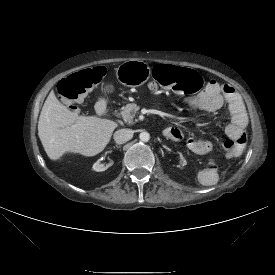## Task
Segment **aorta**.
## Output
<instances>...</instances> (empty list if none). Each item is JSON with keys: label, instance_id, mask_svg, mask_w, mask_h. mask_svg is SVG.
I'll use <instances>...</instances> for the list:
<instances>
[{"label": "aorta", "instance_id": "1", "mask_svg": "<svg viewBox=\"0 0 275 275\" xmlns=\"http://www.w3.org/2000/svg\"><path fill=\"white\" fill-rule=\"evenodd\" d=\"M139 138L142 142H148L150 140V134L146 131H143L139 134Z\"/></svg>", "mask_w": 275, "mask_h": 275}]
</instances>
